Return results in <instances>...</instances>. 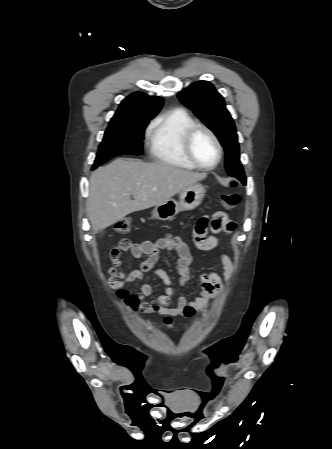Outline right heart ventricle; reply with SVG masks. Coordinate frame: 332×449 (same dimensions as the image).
<instances>
[{
    "mask_svg": "<svg viewBox=\"0 0 332 449\" xmlns=\"http://www.w3.org/2000/svg\"><path fill=\"white\" fill-rule=\"evenodd\" d=\"M196 122L184 109H174L162 114L152 124L149 132L151 156L164 164L194 169L182 149L185 131Z\"/></svg>",
    "mask_w": 332,
    "mask_h": 449,
    "instance_id": "e07e8e85",
    "label": "right heart ventricle"
}]
</instances>
